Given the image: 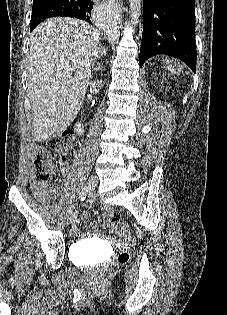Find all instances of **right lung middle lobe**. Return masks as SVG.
<instances>
[{"label":"right lung middle lobe","mask_w":227,"mask_h":315,"mask_svg":"<svg viewBox=\"0 0 227 315\" xmlns=\"http://www.w3.org/2000/svg\"><path fill=\"white\" fill-rule=\"evenodd\" d=\"M76 0H33L30 31L42 21L59 16L64 8L72 6Z\"/></svg>","instance_id":"obj_1"}]
</instances>
